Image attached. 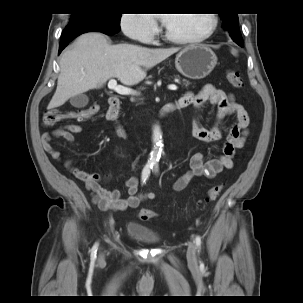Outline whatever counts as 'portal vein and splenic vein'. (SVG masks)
<instances>
[{
    "instance_id": "portal-vein-and-splenic-vein-1",
    "label": "portal vein and splenic vein",
    "mask_w": 303,
    "mask_h": 303,
    "mask_svg": "<svg viewBox=\"0 0 303 303\" xmlns=\"http://www.w3.org/2000/svg\"><path fill=\"white\" fill-rule=\"evenodd\" d=\"M108 88L115 91L116 93L120 95H134L135 91L131 88L124 87L117 84V81L115 79H111L108 83ZM170 90H177V86L175 84H170L168 86Z\"/></svg>"
}]
</instances>
